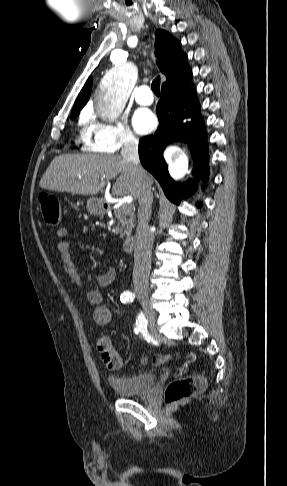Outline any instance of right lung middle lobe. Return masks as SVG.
Listing matches in <instances>:
<instances>
[{
	"label": "right lung middle lobe",
	"instance_id": "right-lung-middle-lobe-1",
	"mask_svg": "<svg viewBox=\"0 0 287 486\" xmlns=\"http://www.w3.org/2000/svg\"><path fill=\"white\" fill-rule=\"evenodd\" d=\"M79 113H72L71 116L74 119Z\"/></svg>",
	"mask_w": 287,
	"mask_h": 486
}]
</instances>
